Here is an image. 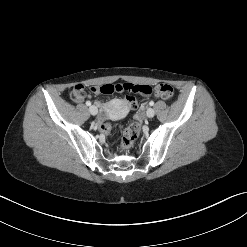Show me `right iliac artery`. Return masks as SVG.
Returning <instances> with one entry per match:
<instances>
[{
  "mask_svg": "<svg viewBox=\"0 0 247 247\" xmlns=\"http://www.w3.org/2000/svg\"><path fill=\"white\" fill-rule=\"evenodd\" d=\"M86 105L87 106H90L91 105V102L90 101H86Z\"/></svg>",
  "mask_w": 247,
  "mask_h": 247,
  "instance_id": "right-iliac-artery-1",
  "label": "right iliac artery"
}]
</instances>
